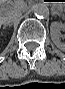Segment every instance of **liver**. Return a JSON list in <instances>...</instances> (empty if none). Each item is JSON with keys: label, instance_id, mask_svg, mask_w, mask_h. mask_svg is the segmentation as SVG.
I'll list each match as a JSON object with an SVG mask.
<instances>
[{"label": "liver", "instance_id": "obj_1", "mask_svg": "<svg viewBox=\"0 0 65 89\" xmlns=\"http://www.w3.org/2000/svg\"><path fill=\"white\" fill-rule=\"evenodd\" d=\"M22 10H24V8L20 7L16 3L13 5V9L11 10H7L1 5V17L9 18L17 13H20Z\"/></svg>", "mask_w": 65, "mask_h": 89}]
</instances>
